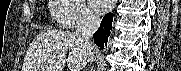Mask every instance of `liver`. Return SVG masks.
I'll return each mask as SVG.
<instances>
[{"label":"liver","mask_w":181,"mask_h":71,"mask_svg":"<svg viewBox=\"0 0 181 71\" xmlns=\"http://www.w3.org/2000/svg\"><path fill=\"white\" fill-rule=\"evenodd\" d=\"M82 71L88 63L86 50L76 35L65 31L41 32L28 48L22 71Z\"/></svg>","instance_id":"6515ba94"}]
</instances>
